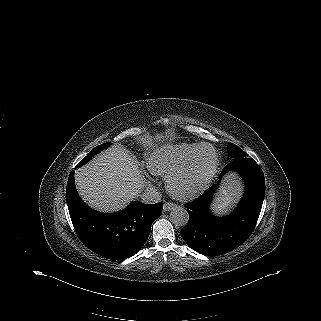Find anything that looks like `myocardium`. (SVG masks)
<instances>
[{"label": "myocardium", "mask_w": 321, "mask_h": 321, "mask_svg": "<svg viewBox=\"0 0 321 321\" xmlns=\"http://www.w3.org/2000/svg\"><path fill=\"white\" fill-rule=\"evenodd\" d=\"M203 148H210L214 154V164H213L212 170L210 171L208 177L206 178V180L203 182V184L201 186H199L198 188H196L190 192L182 193V192L177 191L174 186L175 181L180 176L188 173L192 169L196 156L198 155L199 151L202 150ZM218 164H219L218 154L212 144L202 143V144L198 145L197 148L194 150V152L188 157V159L182 165H180L179 167H177L176 169H174L173 171H171L167 175V177H166L167 190L169 191V193L172 196H174L175 198H177L179 200H190V199L195 198L201 192H203L209 186V184L212 182V180L214 179V177L217 173Z\"/></svg>", "instance_id": "myocardium-1"}]
</instances>
